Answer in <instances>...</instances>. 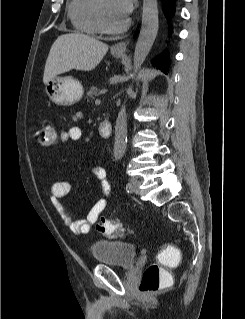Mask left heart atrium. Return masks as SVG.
Listing matches in <instances>:
<instances>
[{
	"label": "left heart atrium",
	"instance_id": "obj_1",
	"mask_svg": "<svg viewBox=\"0 0 245 319\" xmlns=\"http://www.w3.org/2000/svg\"><path fill=\"white\" fill-rule=\"evenodd\" d=\"M135 0H114V8L117 15L126 20L134 8Z\"/></svg>",
	"mask_w": 245,
	"mask_h": 319
}]
</instances>
